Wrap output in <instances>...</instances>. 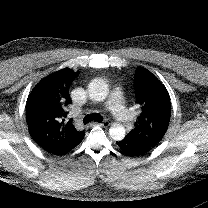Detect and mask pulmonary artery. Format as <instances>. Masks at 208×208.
Returning a JSON list of instances; mask_svg holds the SVG:
<instances>
[{
    "mask_svg": "<svg viewBox=\"0 0 208 208\" xmlns=\"http://www.w3.org/2000/svg\"><path fill=\"white\" fill-rule=\"evenodd\" d=\"M102 107L111 111L116 120L121 124H127L132 121V113L124 104L123 87L117 86L110 94L109 98L102 104Z\"/></svg>",
    "mask_w": 208,
    "mask_h": 208,
    "instance_id": "e3ab8cb5",
    "label": "pulmonary artery"
}]
</instances>
